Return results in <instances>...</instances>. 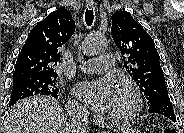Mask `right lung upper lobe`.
I'll return each instance as SVG.
<instances>
[{"mask_svg": "<svg viewBox=\"0 0 184 133\" xmlns=\"http://www.w3.org/2000/svg\"><path fill=\"white\" fill-rule=\"evenodd\" d=\"M75 31L69 10L51 12L28 34L17 58L13 78L20 76H57L54 66L60 60V50Z\"/></svg>", "mask_w": 184, "mask_h": 133, "instance_id": "1", "label": "right lung upper lobe"}]
</instances>
